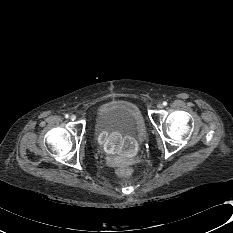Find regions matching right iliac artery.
<instances>
[{"mask_svg":"<svg viewBox=\"0 0 233 233\" xmlns=\"http://www.w3.org/2000/svg\"><path fill=\"white\" fill-rule=\"evenodd\" d=\"M69 117V115L68 114H65V118H68Z\"/></svg>","mask_w":233,"mask_h":233,"instance_id":"right-iliac-artery-1","label":"right iliac artery"}]
</instances>
